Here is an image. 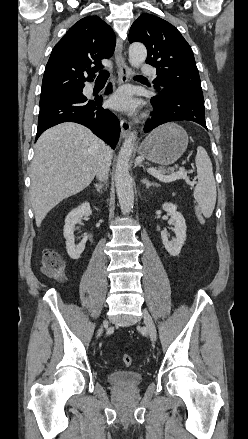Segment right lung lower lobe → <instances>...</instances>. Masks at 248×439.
<instances>
[{"label": "right lung lower lobe", "instance_id": "1", "mask_svg": "<svg viewBox=\"0 0 248 439\" xmlns=\"http://www.w3.org/2000/svg\"><path fill=\"white\" fill-rule=\"evenodd\" d=\"M110 88L109 85L107 92ZM101 103L102 97L88 99L80 91L40 106L36 140L52 126L62 122H76L88 127L114 148L120 134L119 121L111 111L104 109Z\"/></svg>", "mask_w": 248, "mask_h": 439}]
</instances>
